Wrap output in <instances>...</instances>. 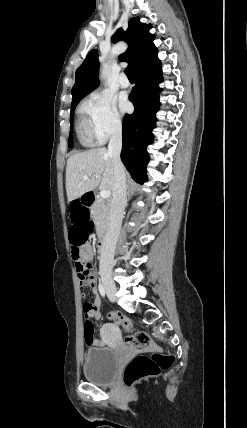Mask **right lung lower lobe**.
Instances as JSON below:
<instances>
[{
	"instance_id": "right-lung-lower-lobe-1",
	"label": "right lung lower lobe",
	"mask_w": 247,
	"mask_h": 428,
	"mask_svg": "<svg viewBox=\"0 0 247 428\" xmlns=\"http://www.w3.org/2000/svg\"><path fill=\"white\" fill-rule=\"evenodd\" d=\"M133 73L135 86L129 100L134 104V113L126 114L123 119L121 159L132 178L142 184L147 181L149 156L146 147L153 141L152 129L157 120L155 113L160 106L161 89L158 84L163 79L161 61L157 58Z\"/></svg>"
}]
</instances>
